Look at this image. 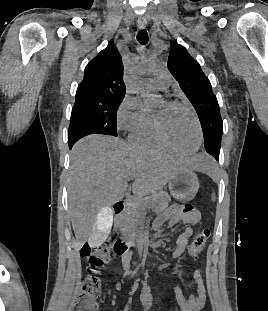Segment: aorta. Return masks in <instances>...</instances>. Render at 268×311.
<instances>
[{
    "mask_svg": "<svg viewBox=\"0 0 268 311\" xmlns=\"http://www.w3.org/2000/svg\"><path fill=\"white\" fill-rule=\"evenodd\" d=\"M157 67V61L150 58L141 60L136 66V72L139 75V80L136 85L137 90L147 99V103L150 106L158 104L161 98L151 93L144 76L154 73Z\"/></svg>",
    "mask_w": 268,
    "mask_h": 311,
    "instance_id": "aorta-1",
    "label": "aorta"
}]
</instances>
